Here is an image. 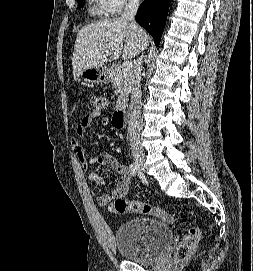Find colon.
Instances as JSON below:
<instances>
[{
  "mask_svg": "<svg viewBox=\"0 0 253 271\" xmlns=\"http://www.w3.org/2000/svg\"><path fill=\"white\" fill-rule=\"evenodd\" d=\"M91 103L95 112H101L107 106V99L103 95L93 94L91 96ZM106 207L110 212L115 214L130 212L140 215H150L167 223H174L175 221V216L172 213L151 204L135 200L119 198L108 202ZM200 237V229L197 226L190 227L177 249V258L180 260L188 258L195 250Z\"/></svg>",
  "mask_w": 253,
  "mask_h": 271,
  "instance_id": "obj_1",
  "label": "colon"
}]
</instances>
